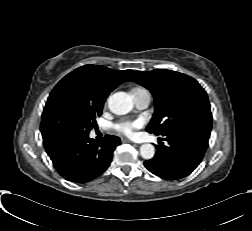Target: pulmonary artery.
<instances>
[{
	"label": "pulmonary artery",
	"instance_id": "1",
	"mask_svg": "<svg viewBox=\"0 0 252 231\" xmlns=\"http://www.w3.org/2000/svg\"><path fill=\"white\" fill-rule=\"evenodd\" d=\"M133 99L138 109H145L151 102V95L147 90L137 91L133 93Z\"/></svg>",
	"mask_w": 252,
	"mask_h": 231
}]
</instances>
